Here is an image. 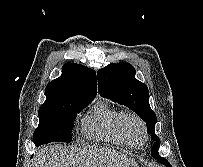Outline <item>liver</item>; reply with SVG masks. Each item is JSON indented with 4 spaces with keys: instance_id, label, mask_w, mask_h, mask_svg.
I'll return each mask as SVG.
<instances>
[{
    "instance_id": "6515ba94",
    "label": "liver",
    "mask_w": 203,
    "mask_h": 167,
    "mask_svg": "<svg viewBox=\"0 0 203 167\" xmlns=\"http://www.w3.org/2000/svg\"><path fill=\"white\" fill-rule=\"evenodd\" d=\"M33 167H138L135 161L105 148L44 147Z\"/></svg>"
}]
</instances>
